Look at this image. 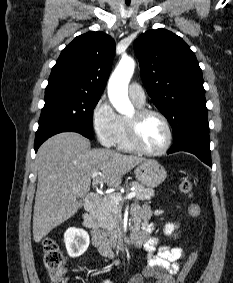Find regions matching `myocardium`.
<instances>
[{"label": "myocardium", "instance_id": "myocardium-1", "mask_svg": "<svg viewBox=\"0 0 233 283\" xmlns=\"http://www.w3.org/2000/svg\"><path fill=\"white\" fill-rule=\"evenodd\" d=\"M149 116H157L160 118L166 129H167V141L166 144L159 150L152 151L147 148H145L142 143L140 142L139 138V128L144 119H146ZM126 128H127V135H128V140L133 147L134 150L145 154L149 156H158L166 153L173 142V129L172 126L168 120V118L161 112L154 110V109H149V108H139L135 111V115L133 118H128L126 119Z\"/></svg>", "mask_w": 233, "mask_h": 283}]
</instances>
